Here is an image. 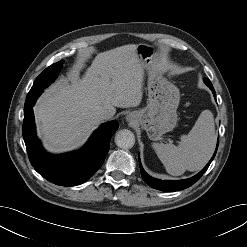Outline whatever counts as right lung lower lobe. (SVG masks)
Instances as JSON below:
<instances>
[{"instance_id": "obj_1", "label": "right lung lower lobe", "mask_w": 247, "mask_h": 247, "mask_svg": "<svg viewBox=\"0 0 247 247\" xmlns=\"http://www.w3.org/2000/svg\"><path fill=\"white\" fill-rule=\"evenodd\" d=\"M40 94L28 93L24 105L23 138L32 166L48 181L61 186H75L91 178L101 167L111 136L118 129L116 121L98 128L79 151L65 155H50L44 151L35 135L33 105Z\"/></svg>"}]
</instances>
